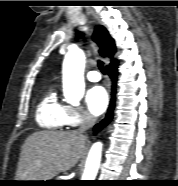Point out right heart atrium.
I'll return each instance as SVG.
<instances>
[{
  "label": "right heart atrium",
  "instance_id": "1",
  "mask_svg": "<svg viewBox=\"0 0 178 186\" xmlns=\"http://www.w3.org/2000/svg\"><path fill=\"white\" fill-rule=\"evenodd\" d=\"M92 120V117L80 107H69L68 125L76 127Z\"/></svg>",
  "mask_w": 178,
  "mask_h": 186
}]
</instances>
